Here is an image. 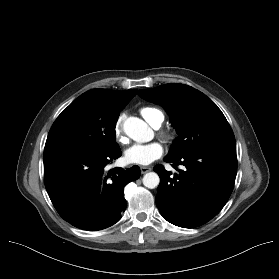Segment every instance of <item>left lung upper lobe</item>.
<instances>
[{
  "label": "left lung upper lobe",
  "mask_w": 279,
  "mask_h": 279,
  "mask_svg": "<svg viewBox=\"0 0 279 279\" xmlns=\"http://www.w3.org/2000/svg\"><path fill=\"white\" fill-rule=\"evenodd\" d=\"M143 99L162 105L178 137L168 155L176 157L210 145H236L224 114L205 94L184 84L139 90Z\"/></svg>",
  "instance_id": "1"
}]
</instances>
